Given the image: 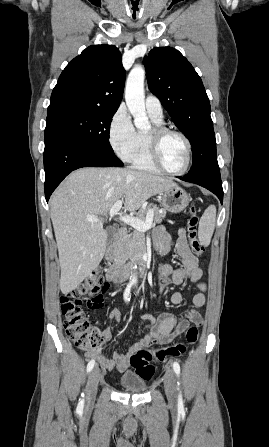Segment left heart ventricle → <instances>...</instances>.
<instances>
[{
	"mask_svg": "<svg viewBox=\"0 0 269 447\" xmlns=\"http://www.w3.org/2000/svg\"><path fill=\"white\" fill-rule=\"evenodd\" d=\"M161 154L163 162L168 168L172 170L182 169L187 158L186 144L177 135H167L161 142Z\"/></svg>",
	"mask_w": 269,
	"mask_h": 447,
	"instance_id": "1",
	"label": "left heart ventricle"
}]
</instances>
